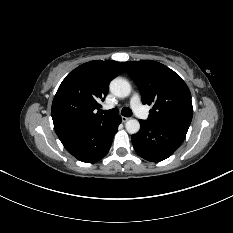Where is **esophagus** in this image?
I'll list each match as a JSON object with an SVG mask.
<instances>
[{
	"label": "esophagus",
	"instance_id": "obj_1",
	"mask_svg": "<svg viewBox=\"0 0 233 233\" xmlns=\"http://www.w3.org/2000/svg\"><path fill=\"white\" fill-rule=\"evenodd\" d=\"M121 120H122L123 123H125V122H127V121L129 120V118H128V117H125V116H122V117H121Z\"/></svg>",
	"mask_w": 233,
	"mask_h": 233
}]
</instances>
